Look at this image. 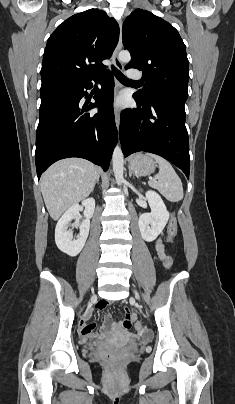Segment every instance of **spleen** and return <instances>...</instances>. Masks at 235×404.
Returning <instances> with one entry per match:
<instances>
[{
    "label": "spleen",
    "instance_id": "obj_1",
    "mask_svg": "<svg viewBox=\"0 0 235 404\" xmlns=\"http://www.w3.org/2000/svg\"><path fill=\"white\" fill-rule=\"evenodd\" d=\"M148 155L159 164V173L155 176V180L149 182L150 185L158 189L170 202H178L183 199L182 182L171 164L158 155Z\"/></svg>",
    "mask_w": 235,
    "mask_h": 404
}]
</instances>
